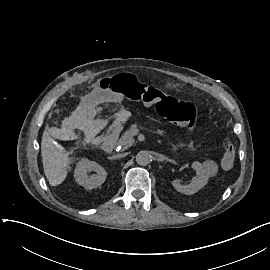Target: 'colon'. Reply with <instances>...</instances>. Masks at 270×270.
<instances>
[{"label": "colon", "instance_id": "1", "mask_svg": "<svg viewBox=\"0 0 270 270\" xmlns=\"http://www.w3.org/2000/svg\"><path fill=\"white\" fill-rule=\"evenodd\" d=\"M101 82H111L109 85L110 90L113 92L120 93L146 106H155L161 116L166 117L179 127L189 129L196 128L198 116L194 104L190 101L177 99L165 94L154 86L140 82L133 75H129L123 80L113 78L112 80L103 79ZM221 149L224 155H231L235 150L233 140L224 138ZM222 165L224 167H231L233 165V158L231 156H224L222 158Z\"/></svg>", "mask_w": 270, "mask_h": 270}]
</instances>
